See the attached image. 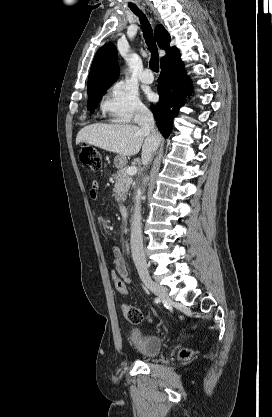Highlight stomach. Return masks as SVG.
Returning a JSON list of instances; mask_svg holds the SVG:
<instances>
[{
	"instance_id": "1",
	"label": "stomach",
	"mask_w": 272,
	"mask_h": 417,
	"mask_svg": "<svg viewBox=\"0 0 272 417\" xmlns=\"http://www.w3.org/2000/svg\"><path fill=\"white\" fill-rule=\"evenodd\" d=\"M126 162H127V159L123 155L118 154L114 158V164L116 165L117 168H123L125 166Z\"/></svg>"
}]
</instances>
